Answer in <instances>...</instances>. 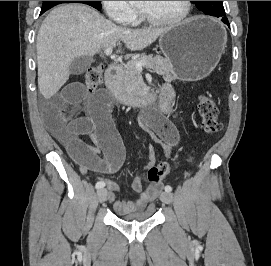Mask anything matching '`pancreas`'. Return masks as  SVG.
<instances>
[{"instance_id":"obj_1","label":"pancreas","mask_w":271,"mask_h":266,"mask_svg":"<svg viewBox=\"0 0 271 266\" xmlns=\"http://www.w3.org/2000/svg\"><path fill=\"white\" fill-rule=\"evenodd\" d=\"M137 62H147L148 64L145 66L147 69H152L164 78L172 77L171 62L160 55H142L133 59L123 67V89L130 97L140 96L147 90L140 71L134 65Z\"/></svg>"}]
</instances>
